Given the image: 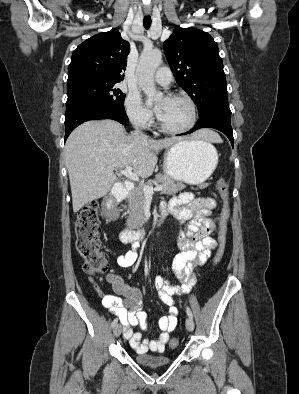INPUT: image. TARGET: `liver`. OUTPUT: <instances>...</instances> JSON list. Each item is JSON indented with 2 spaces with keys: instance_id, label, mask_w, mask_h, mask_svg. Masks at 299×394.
Listing matches in <instances>:
<instances>
[{
  "instance_id": "1",
  "label": "liver",
  "mask_w": 299,
  "mask_h": 394,
  "mask_svg": "<svg viewBox=\"0 0 299 394\" xmlns=\"http://www.w3.org/2000/svg\"><path fill=\"white\" fill-rule=\"evenodd\" d=\"M193 138L221 141L219 135L208 129L197 131ZM182 140H153L136 132L126 135L124 127L110 119L87 121L78 126L64 148L74 213L110 191L117 180L114 169L131 166L136 175L150 177L159 150Z\"/></svg>"
}]
</instances>
